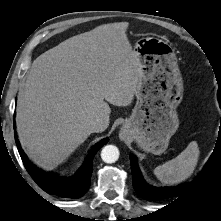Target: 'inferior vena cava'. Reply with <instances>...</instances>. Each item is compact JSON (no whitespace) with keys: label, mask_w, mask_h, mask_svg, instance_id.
<instances>
[{"label":"inferior vena cava","mask_w":221,"mask_h":221,"mask_svg":"<svg viewBox=\"0 0 221 221\" xmlns=\"http://www.w3.org/2000/svg\"><path fill=\"white\" fill-rule=\"evenodd\" d=\"M108 119L98 117L91 122V130L93 132H102L108 127Z\"/></svg>","instance_id":"inferior-vena-cava-1"}]
</instances>
